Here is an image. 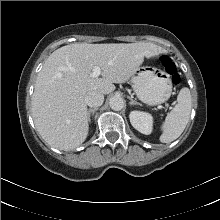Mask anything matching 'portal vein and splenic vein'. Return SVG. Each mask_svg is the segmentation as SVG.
Wrapping results in <instances>:
<instances>
[{
  "instance_id": "obj_1",
  "label": "portal vein and splenic vein",
  "mask_w": 220,
  "mask_h": 220,
  "mask_svg": "<svg viewBox=\"0 0 220 220\" xmlns=\"http://www.w3.org/2000/svg\"><path fill=\"white\" fill-rule=\"evenodd\" d=\"M101 75V69H100V67H98V66H95L94 68H93V71H92V73H91V77H93V78H97V77H99Z\"/></svg>"
}]
</instances>
